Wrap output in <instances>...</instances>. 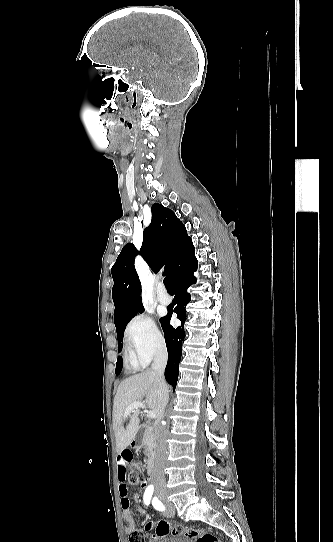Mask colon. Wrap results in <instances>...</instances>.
I'll return each instance as SVG.
<instances>
[{
    "label": "colon",
    "instance_id": "obj_1",
    "mask_svg": "<svg viewBox=\"0 0 333 542\" xmlns=\"http://www.w3.org/2000/svg\"><path fill=\"white\" fill-rule=\"evenodd\" d=\"M130 452L132 451L130 450ZM132 456L133 464L128 477L129 482L134 486L142 485L146 480L144 469L140 465L134 463L133 452ZM146 527L152 529L153 524L148 523ZM154 532L159 538H163L168 534H171L173 536H182L189 542H229L227 536H217L213 532L201 530L199 528L185 527L179 524H170L167 520H160L156 524ZM130 538L131 539H129V542H147V538L144 537L143 533L140 531L132 532Z\"/></svg>",
    "mask_w": 333,
    "mask_h": 542
}]
</instances>
